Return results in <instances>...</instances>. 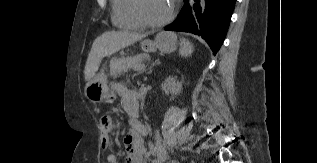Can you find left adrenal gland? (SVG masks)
Returning a JSON list of instances; mask_svg holds the SVG:
<instances>
[{
  "label": "left adrenal gland",
  "instance_id": "left-adrenal-gland-1",
  "mask_svg": "<svg viewBox=\"0 0 317 163\" xmlns=\"http://www.w3.org/2000/svg\"><path fill=\"white\" fill-rule=\"evenodd\" d=\"M157 64H160V61H159V60H155V61L151 64V66L148 68L149 72H151L153 66H155V65H157ZM145 71H146V70H145ZM143 72H144V71L139 72L137 75H139V74H141V73H143ZM135 76H136V75H135Z\"/></svg>",
  "mask_w": 317,
  "mask_h": 163
}]
</instances>
